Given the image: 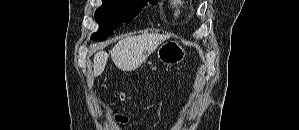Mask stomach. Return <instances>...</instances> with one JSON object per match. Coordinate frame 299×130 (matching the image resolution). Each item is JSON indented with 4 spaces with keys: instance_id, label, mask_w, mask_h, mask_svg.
Masks as SVG:
<instances>
[{
    "instance_id": "0dacf381",
    "label": "stomach",
    "mask_w": 299,
    "mask_h": 130,
    "mask_svg": "<svg viewBox=\"0 0 299 130\" xmlns=\"http://www.w3.org/2000/svg\"><path fill=\"white\" fill-rule=\"evenodd\" d=\"M158 59L167 65H175L182 62L186 56L185 49L174 40L167 41L157 50Z\"/></svg>"
}]
</instances>
